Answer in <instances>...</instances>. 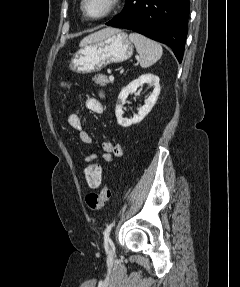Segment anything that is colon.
I'll use <instances>...</instances> for the list:
<instances>
[{
    "label": "colon",
    "mask_w": 240,
    "mask_h": 287,
    "mask_svg": "<svg viewBox=\"0 0 240 287\" xmlns=\"http://www.w3.org/2000/svg\"><path fill=\"white\" fill-rule=\"evenodd\" d=\"M63 88L68 87L67 82L62 83ZM84 175L87 185L91 188H99L95 193L86 196V203L90 210L99 212L103 209L111 197L110 188L103 183L102 167L96 161V156L92 153L86 154L84 158Z\"/></svg>",
    "instance_id": "1"
}]
</instances>
